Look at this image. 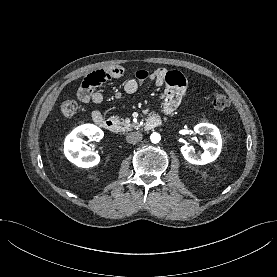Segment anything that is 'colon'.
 I'll list each match as a JSON object with an SVG mask.
<instances>
[{
  "label": "colon",
  "instance_id": "5ec220e1",
  "mask_svg": "<svg viewBox=\"0 0 277 277\" xmlns=\"http://www.w3.org/2000/svg\"><path fill=\"white\" fill-rule=\"evenodd\" d=\"M212 106L217 111H224L229 106V99L221 91H215L211 97ZM78 110L77 101L70 99L66 100L61 105V112L66 117H72Z\"/></svg>",
  "mask_w": 277,
  "mask_h": 277
}]
</instances>
